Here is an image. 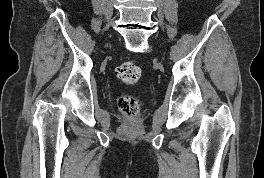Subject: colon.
Wrapping results in <instances>:
<instances>
[{
	"instance_id": "obj_1",
	"label": "colon",
	"mask_w": 264,
	"mask_h": 178,
	"mask_svg": "<svg viewBox=\"0 0 264 178\" xmlns=\"http://www.w3.org/2000/svg\"><path fill=\"white\" fill-rule=\"evenodd\" d=\"M115 75L123 83L132 85L139 80L141 69L134 61L128 60L116 68ZM118 107L122 113L133 117L138 113L140 105L135 98L124 95L118 99Z\"/></svg>"
}]
</instances>
